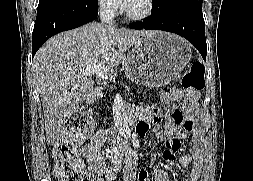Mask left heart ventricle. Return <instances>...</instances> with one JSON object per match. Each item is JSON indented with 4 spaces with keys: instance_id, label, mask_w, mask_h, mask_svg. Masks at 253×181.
Segmentation results:
<instances>
[{
    "instance_id": "b2bd125f",
    "label": "left heart ventricle",
    "mask_w": 253,
    "mask_h": 181,
    "mask_svg": "<svg viewBox=\"0 0 253 181\" xmlns=\"http://www.w3.org/2000/svg\"><path fill=\"white\" fill-rule=\"evenodd\" d=\"M146 0H136L133 6L127 10L129 12L138 13L145 9Z\"/></svg>"
}]
</instances>
